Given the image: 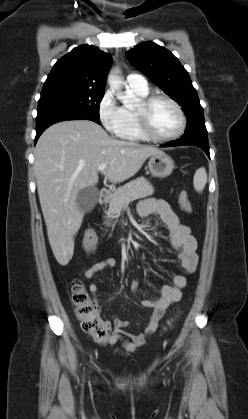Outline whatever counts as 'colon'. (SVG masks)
<instances>
[{
    "instance_id": "5ec220e1",
    "label": "colon",
    "mask_w": 248,
    "mask_h": 419,
    "mask_svg": "<svg viewBox=\"0 0 248 419\" xmlns=\"http://www.w3.org/2000/svg\"><path fill=\"white\" fill-rule=\"evenodd\" d=\"M179 204L181 208L190 213L192 211V203L186 191L179 194ZM97 244V237L93 230H88L83 238V246L87 253H92ZM71 301L75 309V315L80 321L81 328L89 333L94 340L98 342L107 341L112 334V327L109 322L99 317V307L91 299L81 280L76 279L72 283ZM170 320L168 327L172 325Z\"/></svg>"
}]
</instances>
